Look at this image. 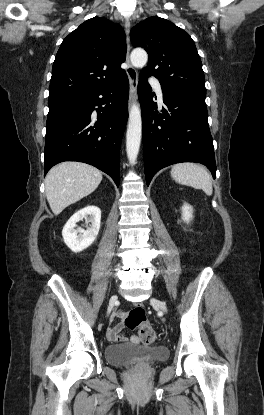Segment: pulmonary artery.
<instances>
[{
	"label": "pulmonary artery",
	"mask_w": 264,
	"mask_h": 415,
	"mask_svg": "<svg viewBox=\"0 0 264 415\" xmlns=\"http://www.w3.org/2000/svg\"><path fill=\"white\" fill-rule=\"evenodd\" d=\"M152 83H153V86H154L155 91L157 92V94L159 96H162V89H161V86H160L159 82L157 80H153Z\"/></svg>",
	"instance_id": "obj_1"
}]
</instances>
